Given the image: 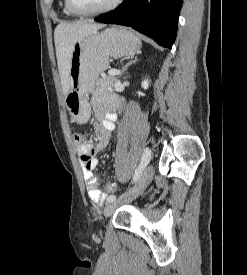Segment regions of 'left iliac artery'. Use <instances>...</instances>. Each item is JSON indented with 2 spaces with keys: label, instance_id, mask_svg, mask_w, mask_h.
<instances>
[{
  "label": "left iliac artery",
  "instance_id": "1",
  "mask_svg": "<svg viewBox=\"0 0 247 275\" xmlns=\"http://www.w3.org/2000/svg\"><path fill=\"white\" fill-rule=\"evenodd\" d=\"M151 159V150L149 148H146L142 154L141 157V162L139 164V166L137 167V169L135 170L134 176H133V183H136L140 176L142 175V172L144 170V168L147 166V164L150 162ZM116 200V196L115 195H110L107 198L108 202H112Z\"/></svg>",
  "mask_w": 247,
  "mask_h": 275
}]
</instances>
